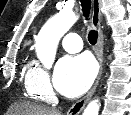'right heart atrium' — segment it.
Returning a JSON list of instances; mask_svg holds the SVG:
<instances>
[{
	"mask_svg": "<svg viewBox=\"0 0 131 115\" xmlns=\"http://www.w3.org/2000/svg\"><path fill=\"white\" fill-rule=\"evenodd\" d=\"M26 88L45 102H51L55 98L50 77L45 68L34 64L26 74Z\"/></svg>",
	"mask_w": 131,
	"mask_h": 115,
	"instance_id": "d8ad5b80",
	"label": "right heart atrium"
}]
</instances>
